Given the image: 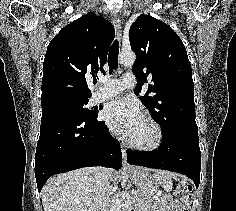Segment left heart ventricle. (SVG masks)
Segmentation results:
<instances>
[{
  "mask_svg": "<svg viewBox=\"0 0 236 211\" xmlns=\"http://www.w3.org/2000/svg\"><path fill=\"white\" fill-rule=\"evenodd\" d=\"M127 137L137 143L148 144L154 140V130L142 119Z\"/></svg>",
  "mask_w": 236,
  "mask_h": 211,
  "instance_id": "1",
  "label": "left heart ventricle"
}]
</instances>
